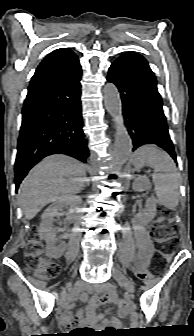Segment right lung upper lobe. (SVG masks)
<instances>
[{
    "label": "right lung upper lobe",
    "instance_id": "obj_1",
    "mask_svg": "<svg viewBox=\"0 0 194 336\" xmlns=\"http://www.w3.org/2000/svg\"><path fill=\"white\" fill-rule=\"evenodd\" d=\"M78 62L77 56L70 49H57L40 63L30 85L55 77L71 69Z\"/></svg>",
    "mask_w": 194,
    "mask_h": 336
}]
</instances>
